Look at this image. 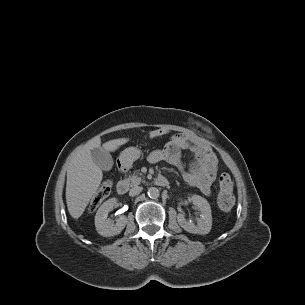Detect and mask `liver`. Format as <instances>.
<instances>
[{"label":"liver","instance_id":"liver-1","mask_svg":"<svg viewBox=\"0 0 305 305\" xmlns=\"http://www.w3.org/2000/svg\"><path fill=\"white\" fill-rule=\"evenodd\" d=\"M128 141L129 138L113 139L105 142L103 148L113 152ZM100 146L101 139L98 136L79 146L67 169L66 203L69 214L75 219L83 214L102 181V170L91 156V150Z\"/></svg>","mask_w":305,"mask_h":305}]
</instances>
